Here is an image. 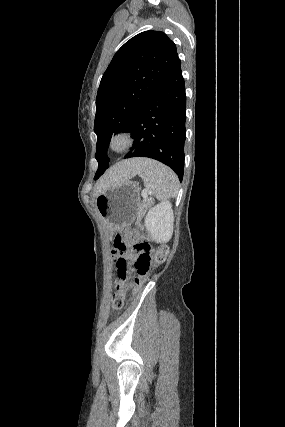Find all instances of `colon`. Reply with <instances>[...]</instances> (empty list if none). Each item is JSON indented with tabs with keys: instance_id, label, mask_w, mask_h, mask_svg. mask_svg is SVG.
I'll return each instance as SVG.
<instances>
[{
	"instance_id": "5ec220e1",
	"label": "colon",
	"mask_w": 285,
	"mask_h": 427,
	"mask_svg": "<svg viewBox=\"0 0 285 427\" xmlns=\"http://www.w3.org/2000/svg\"><path fill=\"white\" fill-rule=\"evenodd\" d=\"M129 250H133L138 254L130 269L136 274L137 285L144 283L149 277L153 266L163 264L169 253V249L165 245L152 249L151 245L143 239L140 226H136L124 234L117 235L114 239V251L116 254H123ZM116 266L118 268V282L112 299V309L117 311L124 306L129 282L126 271L128 264L123 260H118L116 261Z\"/></svg>"
}]
</instances>
